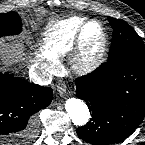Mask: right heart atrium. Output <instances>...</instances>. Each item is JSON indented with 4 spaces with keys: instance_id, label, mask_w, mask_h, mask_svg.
Instances as JSON below:
<instances>
[{
    "instance_id": "obj_1",
    "label": "right heart atrium",
    "mask_w": 145,
    "mask_h": 145,
    "mask_svg": "<svg viewBox=\"0 0 145 145\" xmlns=\"http://www.w3.org/2000/svg\"><path fill=\"white\" fill-rule=\"evenodd\" d=\"M38 66L41 68L43 72L46 74H53L59 67V63L57 61L48 59V58H39L37 61Z\"/></svg>"
}]
</instances>
